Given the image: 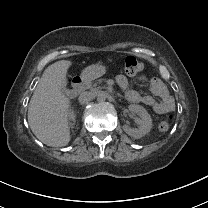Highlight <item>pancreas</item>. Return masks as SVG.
I'll list each match as a JSON object with an SVG mask.
<instances>
[{"instance_id":"1","label":"pancreas","mask_w":208,"mask_h":208,"mask_svg":"<svg viewBox=\"0 0 208 208\" xmlns=\"http://www.w3.org/2000/svg\"><path fill=\"white\" fill-rule=\"evenodd\" d=\"M97 85H98V81H91L86 84V89H89L93 92L103 89V87H97Z\"/></svg>"}]
</instances>
